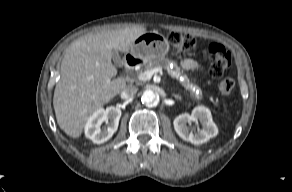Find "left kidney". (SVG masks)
<instances>
[{"instance_id": "left-kidney-1", "label": "left kidney", "mask_w": 292, "mask_h": 192, "mask_svg": "<svg viewBox=\"0 0 292 192\" xmlns=\"http://www.w3.org/2000/svg\"><path fill=\"white\" fill-rule=\"evenodd\" d=\"M200 122L202 129L198 128V133L189 132L187 123ZM176 133L184 140L194 145H200L207 142L210 138L217 136L218 128L213 122L210 110L205 106H197L193 109L191 115L183 113L177 116L173 121Z\"/></svg>"}]
</instances>
